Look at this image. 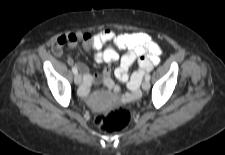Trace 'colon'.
Segmentation results:
<instances>
[{
	"instance_id": "5ec220e1",
	"label": "colon",
	"mask_w": 225,
	"mask_h": 155,
	"mask_svg": "<svg viewBox=\"0 0 225 155\" xmlns=\"http://www.w3.org/2000/svg\"><path fill=\"white\" fill-rule=\"evenodd\" d=\"M132 120L130 110L118 108L107 114L100 115L95 119V124L106 133H117L128 127Z\"/></svg>"
}]
</instances>
